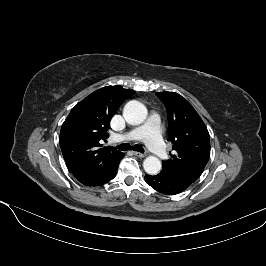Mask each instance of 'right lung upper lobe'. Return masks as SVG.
<instances>
[{
  "label": "right lung upper lobe",
  "mask_w": 266,
  "mask_h": 266,
  "mask_svg": "<svg viewBox=\"0 0 266 266\" xmlns=\"http://www.w3.org/2000/svg\"><path fill=\"white\" fill-rule=\"evenodd\" d=\"M134 93L118 85L96 90L75 105L62 124V154L80 183L87 184L106 175L124 156L112 146L102 148V142L109 136L110 119Z\"/></svg>",
  "instance_id": "cb5924a9"
}]
</instances>
